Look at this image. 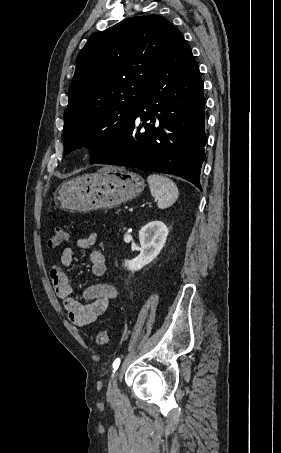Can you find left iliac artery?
<instances>
[{
	"label": "left iliac artery",
	"mask_w": 281,
	"mask_h": 453,
	"mask_svg": "<svg viewBox=\"0 0 281 453\" xmlns=\"http://www.w3.org/2000/svg\"><path fill=\"white\" fill-rule=\"evenodd\" d=\"M119 365H120V358H117V359L113 362V369H114L113 372H115V371L118 369Z\"/></svg>",
	"instance_id": "1"
}]
</instances>
